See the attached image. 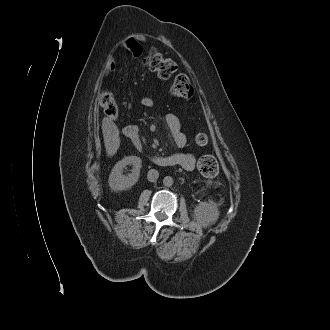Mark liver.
<instances>
[{
  "label": "liver",
  "instance_id": "6515ba94",
  "mask_svg": "<svg viewBox=\"0 0 330 330\" xmlns=\"http://www.w3.org/2000/svg\"><path fill=\"white\" fill-rule=\"evenodd\" d=\"M102 132L107 155L113 156L120 146L119 129L113 121L103 118Z\"/></svg>",
  "mask_w": 330,
  "mask_h": 330
}]
</instances>
